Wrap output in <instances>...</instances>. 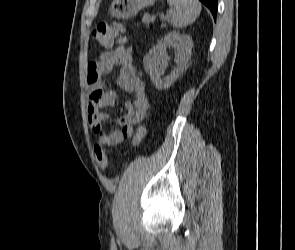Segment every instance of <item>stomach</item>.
<instances>
[{
  "instance_id": "stomach-1",
  "label": "stomach",
  "mask_w": 295,
  "mask_h": 250,
  "mask_svg": "<svg viewBox=\"0 0 295 250\" xmlns=\"http://www.w3.org/2000/svg\"><path fill=\"white\" fill-rule=\"evenodd\" d=\"M156 0H113L109 12L118 18H129L142 8L153 5Z\"/></svg>"
}]
</instances>
